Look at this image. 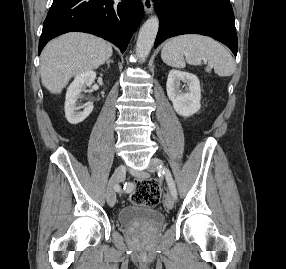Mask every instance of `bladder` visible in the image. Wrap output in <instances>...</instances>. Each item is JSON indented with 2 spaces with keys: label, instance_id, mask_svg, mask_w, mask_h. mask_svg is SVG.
<instances>
[{
  "label": "bladder",
  "instance_id": "obj_1",
  "mask_svg": "<svg viewBox=\"0 0 286 269\" xmlns=\"http://www.w3.org/2000/svg\"><path fill=\"white\" fill-rule=\"evenodd\" d=\"M120 225L134 228H159L165 223V216L157 209L131 204L118 211Z\"/></svg>",
  "mask_w": 286,
  "mask_h": 269
}]
</instances>
